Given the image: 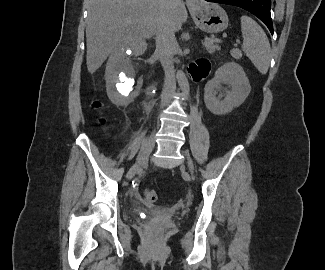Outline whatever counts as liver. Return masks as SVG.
I'll return each instance as SVG.
<instances>
[{
	"label": "liver",
	"mask_w": 325,
	"mask_h": 270,
	"mask_svg": "<svg viewBox=\"0 0 325 270\" xmlns=\"http://www.w3.org/2000/svg\"><path fill=\"white\" fill-rule=\"evenodd\" d=\"M161 14V0H90L86 26L88 72L98 70L121 45L143 52L145 40L156 34ZM186 17L185 4L178 0L172 7L174 31L181 29Z\"/></svg>",
	"instance_id": "1"
}]
</instances>
